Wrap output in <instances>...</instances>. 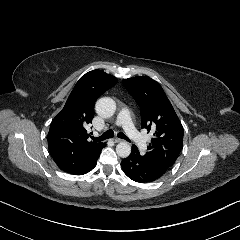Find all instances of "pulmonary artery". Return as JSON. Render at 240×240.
<instances>
[{
    "label": "pulmonary artery",
    "instance_id": "obj_1",
    "mask_svg": "<svg viewBox=\"0 0 240 240\" xmlns=\"http://www.w3.org/2000/svg\"><path fill=\"white\" fill-rule=\"evenodd\" d=\"M130 118V113L128 109H123L121 111V114L118 115V118L116 119L117 125H122L124 128V132L136 142V145L139 149L145 148V142L148 140L147 134H141L138 131H136V128L134 127V124L132 123V120Z\"/></svg>",
    "mask_w": 240,
    "mask_h": 240
}]
</instances>
